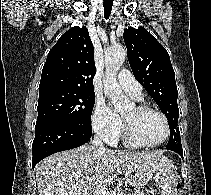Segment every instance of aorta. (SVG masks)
I'll use <instances>...</instances> for the list:
<instances>
[{
    "mask_svg": "<svg viewBox=\"0 0 211 195\" xmlns=\"http://www.w3.org/2000/svg\"><path fill=\"white\" fill-rule=\"evenodd\" d=\"M126 58V49L122 45L111 47L105 52V77L103 79L104 93L112 101L115 111L122 112L133 106L122 92L116 74Z\"/></svg>",
    "mask_w": 211,
    "mask_h": 195,
    "instance_id": "obj_1",
    "label": "aorta"
}]
</instances>
